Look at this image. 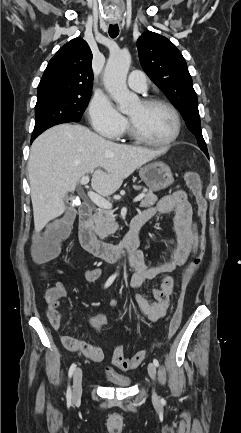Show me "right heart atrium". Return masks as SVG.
<instances>
[{
  "mask_svg": "<svg viewBox=\"0 0 241 433\" xmlns=\"http://www.w3.org/2000/svg\"><path fill=\"white\" fill-rule=\"evenodd\" d=\"M88 115L92 128L111 139H119L128 126L127 119L103 96L92 99Z\"/></svg>",
  "mask_w": 241,
  "mask_h": 433,
  "instance_id": "right-heart-atrium-1",
  "label": "right heart atrium"
}]
</instances>
